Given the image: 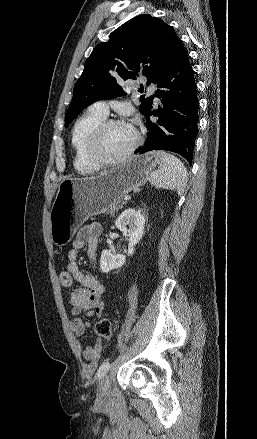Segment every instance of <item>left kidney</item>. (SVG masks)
<instances>
[{
  "label": "left kidney",
  "mask_w": 257,
  "mask_h": 439,
  "mask_svg": "<svg viewBox=\"0 0 257 439\" xmlns=\"http://www.w3.org/2000/svg\"><path fill=\"white\" fill-rule=\"evenodd\" d=\"M116 228L128 236V252L131 256L134 253L135 245L141 240L145 226V216L142 209H126L115 222ZM126 256L113 254L110 250H103L100 258V269L108 273L113 269H118L124 265Z\"/></svg>",
  "instance_id": "1"
}]
</instances>
